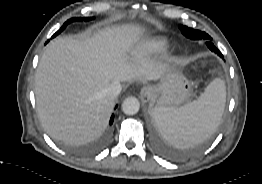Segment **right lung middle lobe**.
<instances>
[{"instance_id":"obj_1","label":"right lung middle lobe","mask_w":262,"mask_h":184,"mask_svg":"<svg viewBox=\"0 0 262 184\" xmlns=\"http://www.w3.org/2000/svg\"><path fill=\"white\" fill-rule=\"evenodd\" d=\"M93 18L92 17H86V18H83V20L85 21H89V20H92ZM76 20H82V18H72V19H69L54 35L53 37H55L56 35H58L61 31H63L66 27L67 24L73 22V21H76Z\"/></svg>"}]
</instances>
